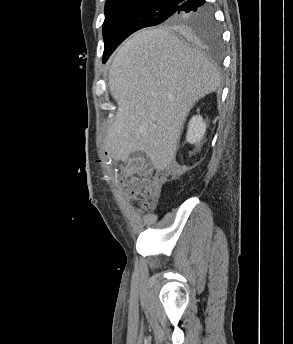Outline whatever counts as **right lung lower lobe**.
<instances>
[{
  "label": "right lung lower lobe",
  "mask_w": 293,
  "mask_h": 344,
  "mask_svg": "<svg viewBox=\"0 0 293 344\" xmlns=\"http://www.w3.org/2000/svg\"><path fill=\"white\" fill-rule=\"evenodd\" d=\"M205 0H184L179 4L177 13H196L208 11L209 8L204 5Z\"/></svg>",
  "instance_id": "right-lung-lower-lobe-1"
}]
</instances>
